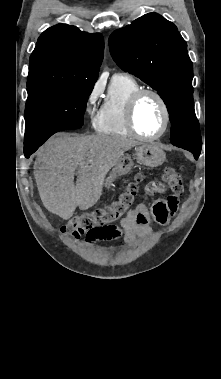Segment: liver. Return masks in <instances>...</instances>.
<instances>
[{"instance_id":"obj_1","label":"liver","mask_w":221,"mask_h":379,"mask_svg":"<svg viewBox=\"0 0 221 379\" xmlns=\"http://www.w3.org/2000/svg\"><path fill=\"white\" fill-rule=\"evenodd\" d=\"M136 145L126 137L100 134L50 138L37 151L34 163V177L45 208L64 220L73 216L76 207L91 208L102 195L106 174Z\"/></svg>"}]
</instances>
